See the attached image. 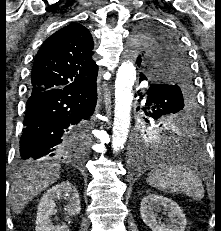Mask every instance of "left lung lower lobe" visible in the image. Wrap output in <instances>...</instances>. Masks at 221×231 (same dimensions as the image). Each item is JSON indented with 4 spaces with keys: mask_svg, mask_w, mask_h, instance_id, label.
I'll return each instance as SVG.
<instances>
[{
    "mask_svg": "<svg viewBox=\"0 0 221 231\" xmlns=\"http://www.w3.org/2000/svg\"><path fill=\"white\" fill-rule=\"evenodd\" d=\"M147 80L143 75H140V82ZM164 87L159 84H151L146 92V102L158 99L164 92ZM141 99H143L142 93ZM200 139L198 137V123L194 118H187L179 123L171 131L161 133L155 140L149 144L150 147H143L140 144L133 146L131 156L136 159L144 161H152L159 159L165 153L177 152L179 156L177 160L181 163L191 164L194 159L195 149L200 146ZM164 146V149H161ZM189 150V151H188Z\"/></svg>",
    "mask_w": 221,
    "mask_h": 231,
    "instance_id": "0a47b994",
    "label": "left lung lower lobe"
}]
</instances>
